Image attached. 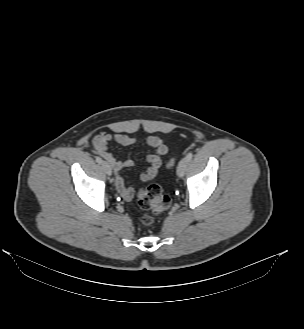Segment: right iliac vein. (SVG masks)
Instances as JSON below:
<instances>
[{"label":"right iliac vein","instance_id":"obj_1","mask_svg":"<svg viewBox=\"0 0 304 329\" xmlns=\"http://www.w3.org/2000/svg\"><path fill=\"white\" fill-rule=\"evenodd\" d=\"M102 167L107 175H109V176L112 175V169L107 162H105V161L102 162Z\"/></svg>","mask_w":304,"mask_h":329}]
</instances>
